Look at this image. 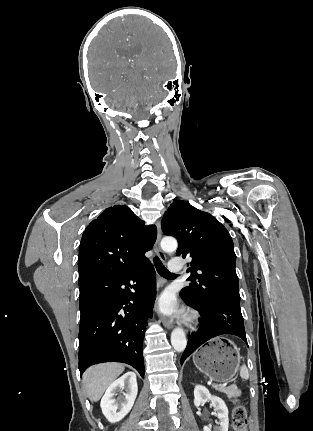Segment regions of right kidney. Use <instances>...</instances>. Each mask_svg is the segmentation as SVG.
<instances>
[{
    "label": "right kidney",
    "mask_w": 313,
    "mask_h": 431,
    "mask_svg": "<svg viewBox=\"0 0 313 431\" xmlns=\"http://www.w3.org/2000/svg\"><path fill=\"white\" fill-rule=\"evenodd\" d=\"M138 393L136 375L127 372L115 380L106 390L100 406L111 423L122 420L131 410Z\"/></svg>",
    "instance_id": "right-kidney-1"
}]
</instances>
